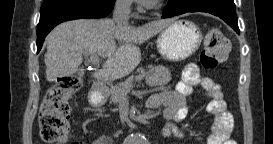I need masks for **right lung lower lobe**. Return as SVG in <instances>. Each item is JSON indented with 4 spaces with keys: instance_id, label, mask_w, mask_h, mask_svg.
<instances>
[{
    "instance_id": "98d812e1",
    "label": "right lung lower lobe",
    "mask_w": 273,
    "mask_h": 144,
    "mask_svg": "<svg viewBox=\"0 0 273 144\" xmlns=\"http://www.w3.org/2000/svg\"><path fill=\"white\" fill-rule=\"evenodd\" d=\"M115 0H44L37 26V52L47 34L59 23L80 18H102L113 9Z\"/></svg>"
}]
</instances>
